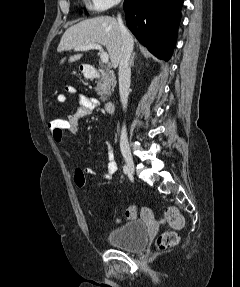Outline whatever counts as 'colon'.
Listing matches in <instances>:
<instances>
[{
  "mask_svg": "<svg viewBox=\"0 0 240 287\" xmlns=\"http://www.w3.org/2000/svg\"><path fill=\"white\" fill-rule=\"evenodd\" d=\"M49 129L54 138L61 139L68 129V121L63 117L55 118L49 122ZM74 182L78 188H84L86 186V178L81 170L75 171ZM136 217L137 208L135 206H129L125 211V219L135 220ZM164 217L168 224L175 230L182 228L184 225V219L176 207H167L164 212ZM178 242V234L173 230H169L157 238L156 246L159 250H166L174 247Z\"/></svg>",
  "mask_w": 240,
  "mask_h": 287,
  "instance_id": "5ec220e1",
  "label": "colon"
}]
</instances>
